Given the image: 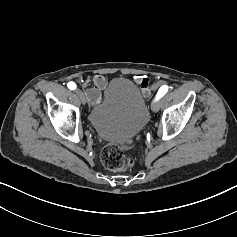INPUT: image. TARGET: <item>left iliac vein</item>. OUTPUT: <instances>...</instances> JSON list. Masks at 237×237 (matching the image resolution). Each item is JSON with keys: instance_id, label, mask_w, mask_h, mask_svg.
Wrapping results in <instances>:
<instances>
[{"instance_id": "left-iliac-vein-1", "label": "left iliac vein", "mask_w": 237, "mask_h": 237, "mask_svg": "<svg viewBox=\"0 0 237 237\" xmlns=\"http://www.w3.org/2000/svg\"><path fill=\"white\" fill-rule=\"evenodd\" d=\"M157 101L158 100H156L155 103L153 104V111L154 112H157L159 110V107H160V105Z\"/></svg>"}]
</instances>
